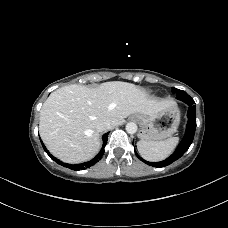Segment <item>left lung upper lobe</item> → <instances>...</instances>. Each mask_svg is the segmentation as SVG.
Wrapping results in <instances>:
<instances>
[{
    "mask_svg": "<svg viewBox=\"0 0 228 228\" xmlns=\"http://www.w3.org/2000/svg\"><path fill=\"white\" fill-rule=\"evenodd\" d=\"M172 92L173 93H177V98L183 97V96H187L188 94L183 91V90H179L177 88H172Z\"/></svg>",
    "mask_w": 228,
    "mask_h": 228,
    "instance_id": "5c2ea615",
    "label": "left lung upper lobe"
}]
</instances>
